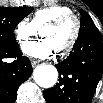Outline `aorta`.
<instances>
[{"instance_id": "obj_1", "label": "aorta", "mask_w": 103, "mask_h": 103, "mask_svg": "<svg viewBox=\"0 0 103 103\" xmlns=\"http://www.w3.org/2000/svg\"><path fill=\"white\" fill-rule=\"evenodd\" d=\"M33 77L40 87L51 88L57 82L58 72L53 65H39L34 69Z\"/></svg>"}]
</instances>
